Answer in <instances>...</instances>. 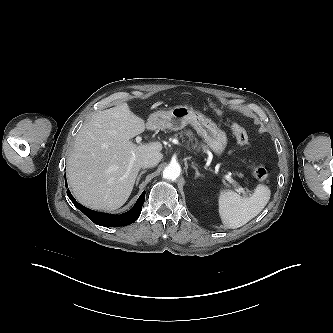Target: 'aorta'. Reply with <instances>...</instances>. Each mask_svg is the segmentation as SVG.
Wrapping results in <instances>:
<instances>
[{"mask_svg":"<svg viewBox=\"0 0 333 333\" xmlns=\"http://www.w3.org/2000/svg\"><path fill=\"white\" fill-rule=\"evenodd\" d=\"M180 166L178 164H169L163 170V177L169 180H176L180 176Z\"/></svg>","mask_w":333,"mask_h":333,"instance_id":"1","label":"aorta"}]
</instances>
